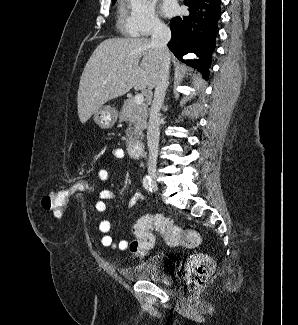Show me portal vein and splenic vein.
I'll return each instance as SVG.
<instances>
[{"mask_svg":"<svg viewBox=\"0 0 298 325\" xmlns=\"http://www.w3.org/2000/svg\"><path fill=\"white\" fill-rule=\"evenodd\" d=\"M133 100L135 104H142V102H144V96L141 92H138V94H135Z\"/></svg>","mask_w":298,"mask_h":325,"instance_id":"portal-vein-and-splenic-vein-1","label":"portal vein and splenic vein"}]
</instances>
